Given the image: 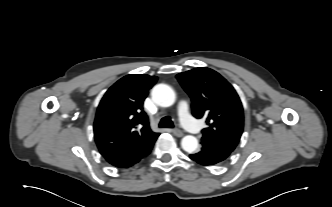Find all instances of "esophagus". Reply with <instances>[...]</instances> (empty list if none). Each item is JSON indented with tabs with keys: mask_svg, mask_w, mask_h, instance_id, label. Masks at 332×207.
<instances>
[{
	"mask_svg": "<svg viewBox=\"0 0 332 207\" xmlns=\"http://www.w3.org/2000/svg\"><path fill=\"white\" fill-rule=\"evenodd\" d=\"M171 131L176 137H182L184 135L183 132L178 128L172 129Z\"/></svg>",
	"mask_w": 332,
	"mask_h": 207,
	"instance_id": "34e87169",
	"label": "esophagus"
}]
</instances>
